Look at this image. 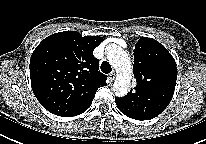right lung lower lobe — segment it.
<instances>
[{"mask_svg": "<svg viewBox=\"0 0 206 144\" xmlns=\"http://www.w3.org/2000/svg\"><path fill=\"white\" fill-rule=\"evenodd\" d=\"M93 99H94V98H93ZM93 99H92L90 102H88L83 108H81V109L78 110L77 112L71 114L69 117H71V116H76V115H79V114L85 112V111L91 106Z\"/></svg>", "mask_w": 206, "mask_h": 144, "instance_id": "right-lung-lower-lobe-1", "label": "right lung lower lobe"}]
</instances>
